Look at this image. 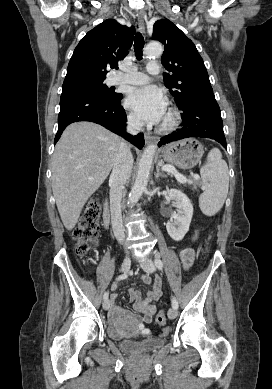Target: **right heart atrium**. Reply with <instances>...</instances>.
<instances>
[{
    "label": "right heart atrium",
    "mask_w": 272,
    "mask_h": 389,
    "mask_svg": "<svg viewBox=\"0 0 272 389\" xmlns=\"http://www.w3.org/2000/svg\"><path fill=\"white\" fill-rule=\"evenodd\" d=\"M128 120H129V123L135 127L139 126L140 125V122L139 120L137 119V117L133 114H130L128 116Z\"/></svg>",
    "instance_id": "right-heart-atrium-1"
}]
</instances>
